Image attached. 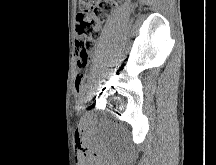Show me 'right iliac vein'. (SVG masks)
<instances>
[{"mask_svg":"<svg viewBox=\"0 0 216 165\" xmlns=\"http://www.w3.org/2000/svg\"><path fill=\"white\" fill-rule=\"evenodd\" d=\"M87 104H88L87 102H86V104H81V105L79 106V109H80V110H83V109L86 107Z\"/></svg>","mask_w":216,"mask_h":165,"instance_id":"obj_1","label":"right iliac vein"}]
</instances>
